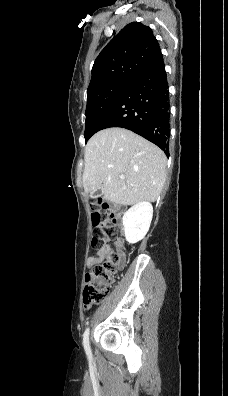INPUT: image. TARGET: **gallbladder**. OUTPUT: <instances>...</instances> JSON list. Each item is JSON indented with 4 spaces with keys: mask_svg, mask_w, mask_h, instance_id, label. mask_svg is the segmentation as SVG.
I'll list each match as a JSON object with an SVG mask.
<instances>
[{
    "mask_svg": "<svg viewBox=\"0 0 228 396\" xmlns=\"http://www.w3.org/2000/svg\"><path fill=\"white\" fill-rule=\"evenodd\" d=\"M100 191V187L95 190L94 193H98Z\"/></svg>",
    "mask_w": 228,
    "mask_h": 396,
    "instance_id": "1",
    "label": "gallbladder"
}]
</instances>
